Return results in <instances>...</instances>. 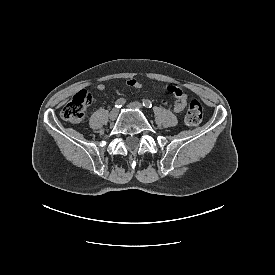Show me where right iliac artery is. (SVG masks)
Returning a JSON list of instances; mask_svg holds the SVG:
<instances>
[{
	"label": "right iliac artery",
	"instance_id": "1",
	"mask_svg": "<svg viewBox=\"0 0 275 275\" xmlns=\"http://www.w3.org/2000/svg\"><path fill=\"white\" fill-rule=\"evenodd\" d=\"M124 104H125V100H123V99H118V100L115 102V107H116V108H121Z\"/></svg>",
	"mask_w": 275,
	"mask_h": 275
}]
</instances>
